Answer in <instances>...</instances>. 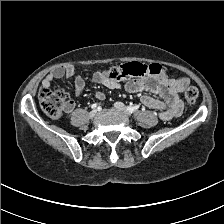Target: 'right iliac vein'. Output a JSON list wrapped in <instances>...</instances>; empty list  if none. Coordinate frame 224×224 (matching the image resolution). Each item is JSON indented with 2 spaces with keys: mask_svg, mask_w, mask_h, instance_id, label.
<instances>
[{
  "mask_svg": "<svg viewBox=\"0 0 224 224\" xmlns=\"http://www.w3.org/2000/svg\"><path fill=\"white\" fill-rule=\"evenodd\" d=\"M96 113H97L96 110H92V111L89 113V117H90V118H94V117L96 116Z\"/></svg>",
  "mask_w": 224,
  "mask_h": 224,
  "instance_id": "obj_1",
  "label": "right iliac vein"
}]
</instances>
